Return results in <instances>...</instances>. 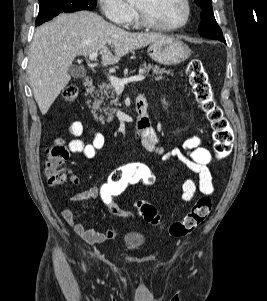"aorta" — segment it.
<instances>
[{
	"mask_svg": "<svg viewBox=\"0 0 267 301\" xmlns=\"http://www.w3.org/2000/svg\"><path fill=\"white\" fill-rule=\"evenodd\" d=\"M126 1L131 3V2H135L136 0H126Z\"/></svg>",
	"mask_w": 267,
	"mask_h": 301,
	"instance_id": "aorta-1",
	"label": "aorta"
}]
</instances>
